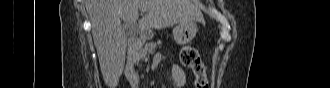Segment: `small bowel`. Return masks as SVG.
<instances>
[{
	"label": "small bowel",
	"mask_w": 330,
	"mask_h": 88,
	"mask_svg": "<svg viewBox=\"0 0 330 88\" xmlns=\"http://www.w3.org/2000/svg\"><path fill=\"white\" fill-rule=\"evenodd\" d=\"M171 75H172V80L176 87L182 88L185 86L186 75L184 70L180 66L178 65L172 66Z\"/></svg>",
	"instance_id": "1"
}]
</instances>
